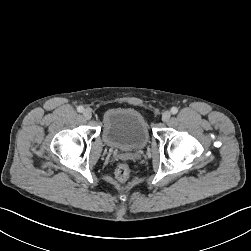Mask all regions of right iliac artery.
I'll return each mask as SVG.
<instances>
[{
	"label": "right iliac artery",
	"instance_id": "82829eb1",
	"mask_svg": "<svg viewBox=\"0 0 251 251\" xmlns=\"http://www.w3.org/2000/svg\"><path fill=\"white\" fill-rule=\"evenodd\" d=\"M77 111L80 112V113L83 112L84 111V107L83 106H78L77 107Z\"/></svg>",
	"mask_w": 251,
	"mask_h": 251
}]
</instances>
